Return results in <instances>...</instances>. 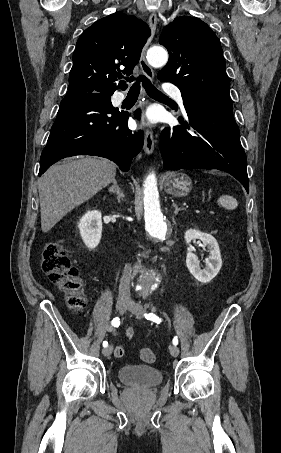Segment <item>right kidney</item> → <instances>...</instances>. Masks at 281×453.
I'll return each mask as SVG.
<instances>
[{
    "label": "right kidney",
    "mask_w": 281,
    "mask_h": 453,
    "mask_svg": "<svg viewBox=\"0 0 281 453\" xmlns=\"http://www.w3.org/2000/svg\"><path fill=\"white\" fill-rule=\"evenodd\" d=\"M80 235L88 249L98 247L102 235L100 210H88L78 222Z\"/></svg>",
    "instance_id": "ca27d5eb"
}]
</instances>
